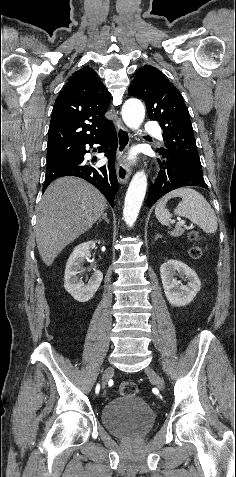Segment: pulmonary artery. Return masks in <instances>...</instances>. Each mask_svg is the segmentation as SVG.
<instances>
[{
	"instance_id": "pulmonary-artery-1",
	"label": "pulmonary artery",
	"mask_w": 236,
	"mask_h": 477,
	"mask_svg": "<svg viewBox=\"0 0 236 477\" xmlns=\"http://www.w3.org/2000/svg\"><path fill=\"white\" fill-rule=\"evenodd\" d=\"M144 131L146 133L155 134L158 136L160 135L159 127L157 126L155 122H148L144 127Z\"/></svg>"
}]
</instances>
